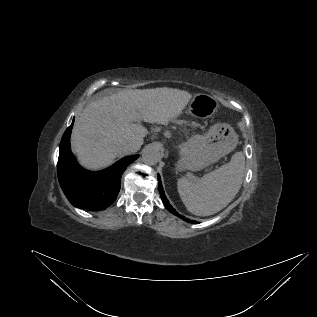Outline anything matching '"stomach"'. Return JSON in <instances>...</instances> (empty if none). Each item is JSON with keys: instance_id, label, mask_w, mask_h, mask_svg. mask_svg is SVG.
Masks as SVG:
<instances>
[{"instance_id": "stomach-1", "label": "stomach", "mask_w": 317, "mask_h": 317, "mask_svg": "<svg viewBox=\"0 0 317 317\" xmlns=\"http://www.w3.org/2000/svg\"><path fill=\"white\" fill-rule=\"evenodd\" d=\"M192 104L205 107L206 116H212L218 109L215 98L207 94H197ZM238 144V136L233 127L224 123L213 125L204 135H193L178 146L181 160L179 171L201 170L230 153Z\"/></svg>"}]
</instances>
